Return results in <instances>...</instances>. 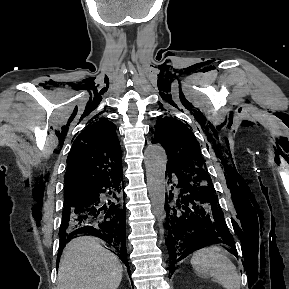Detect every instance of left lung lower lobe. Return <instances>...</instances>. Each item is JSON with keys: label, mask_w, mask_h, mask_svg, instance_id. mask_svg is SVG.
<instances>
[{"label": "left lung lower lobe", "mask_w": 289, "mask_h": 289, "mask_svg": "<svg viewBox=\"0 0 289 289\" xmlns=\"http://www.w3.org/2000/svg\"><path fill=\"white\" fill-rule=\"evenodd\" d=\"M172 174L176 183L171 185V189L175 192L171 190L165 200L171 274L177 262L207 245L224 243L235 249L214 186L192 180L169 168L165 173L170 180L168 183L172 182Z\"/></svg>", "instance_id": "obj_1"}]
</instances>
